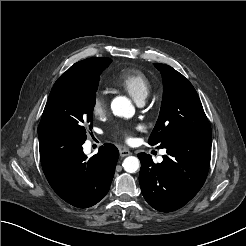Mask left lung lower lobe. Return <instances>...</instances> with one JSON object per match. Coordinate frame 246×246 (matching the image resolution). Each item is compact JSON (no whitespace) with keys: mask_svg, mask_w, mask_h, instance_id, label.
I'll list each match as a JSON object with an SVG mask.
<instances>
[{"mask_svg":"<svg viewBox=\"0 0 246 246\" xmlns=\"http://www.w3.org/2000/svg\"><path fill=\"white\" fill-rule=\"evenodd\" d=\"M163 148L160 164L139 153V182L145 200L158 211L183 207L203 186L210 165L211 140H176Z\"/></svg>","mask_w":246,"mask_h":246,"instance_id":"left-lung-lower-lobe-1","label":"left lung lower lobe"}]
</instances>
